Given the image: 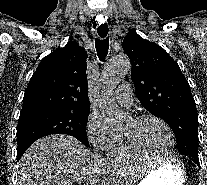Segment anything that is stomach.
Wrapping results in <instances>:
<instances>
[{
    "instance_id": "stomach-1",
    "label": "stomach",
    "mask_w": 207,
    "mask_h": 185,
    "mask_svg": "<svg viewBox=\"0 0 207 185\" xmlns=\"http://www.w3.org/2000/svg\"><path fill=\"white\" fill-rule=\"evenodd\" d=\"M186 179L184 165L170 160L148 174L139 185H184Z\"/></svg>"
}]
</instances>
